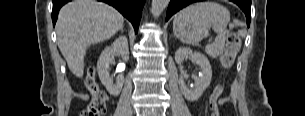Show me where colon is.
<instances>
[{
    "mask_svg": "<svg viewBox=\"0 0 305 116\" xmlns=\"http://www.w3.org/2000/svg\"><path fill=\"white\" fill-rule=\"evenodd\" d=\"M239 44L240 40L238 34L234 31L230 32L227 37L224 51L220 56V64L223 69H228L233 65L238 53ZM85 86L90 92L92 99L87 108L81 112L80 116L104 115L107 111V95L100 88L95 78V70L93 68L89 69L87 73L85 78ZM222 93V85H217L210 95L209 106L212 112L211 116H220L218 102Z\"/></svg>",
    "mask_w": 305,
    "mask_h": 116,
    "instance_id": "5ec220e1",
    "label": "colon"
}]
</instances>
